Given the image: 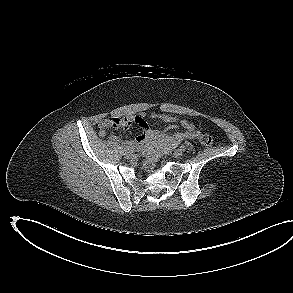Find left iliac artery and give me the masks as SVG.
Returning <instances> with one entry per match:
<instances>
[{"mask_svg":"<svg viewBox=\"0 0 293 293\" xmlns=\"http://www.w3.org/2000/svg\"><path fill=\"white\" fill-rule=\"evenodd\" d=\"M180 148L182 151H185V149H186V147L184 145H182Z\"/></svg>","mask_w":293,"mask_h":293,"instance_id":"left-iliac-artery-1","label":"left iliac artery"}]
</instances>
